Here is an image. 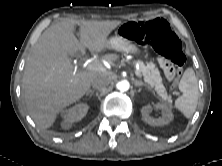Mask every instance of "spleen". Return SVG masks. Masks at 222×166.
Wrapping results in <instances>:
<instances>
[{"label":"spleen","mask_w":222,"mask_h":166,"mask_svg":"<svg viewBox=\"0 0 222 166\" xmlns=\"http://www.w3.org/2000/svg\"><path fill=\"white\" fill-rule=\"evenodd\" d=\"M182 95L175 100V107L186 117L191 118L196 110L199 89L195 72L187 68L179 82Z\"/></svg>","instance_id":"1"}]
</instances>
